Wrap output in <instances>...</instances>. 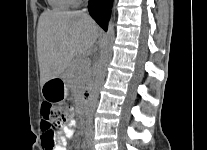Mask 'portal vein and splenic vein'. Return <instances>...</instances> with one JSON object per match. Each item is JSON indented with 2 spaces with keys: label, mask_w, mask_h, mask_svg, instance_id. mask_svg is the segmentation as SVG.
Segmentation results:
<instances>
[{
  "label": "portal vein and splenic vein",
  "mask_w": 207,
  "mask_h": 150,
  "mask_svg": "<svg viewBox=\"0 0 207 150\" xmlns=\"http://www.w3.org/2000/svg\"><path fill=\"white\" fill-rule=\"evenodd\" d=\"M85 62L87 63V62H89V60H88V59H86V61H85Z\"/></svg>",
  "instance_id": "1"
}]
</instances>
